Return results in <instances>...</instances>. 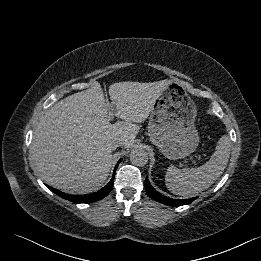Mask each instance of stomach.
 Here are the masks:
<instances>
[{
  "label": "stomach",
  "mask_w": 261,
  "mask_h": 261,
  "mask_svg": "<svg viewBox=\"0 0 261 261\" xmlns=\"http://www.w3.org/2000/svg\"><path fill=\"white\" fill-rule=\"evenodd\" d=\"M168 81L151 109L148 134L166 157L180 159L193 153L199 145L194 124L197 107L182 81Z\"/></svg>",
  "instance_id": "stomach-1"
}]
</instances>
